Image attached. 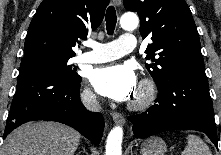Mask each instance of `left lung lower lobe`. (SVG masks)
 Masks as SVG:
<instances>
[{
    "mask_svg": "<svg viewBox=\"0 0 221 155\" xmlns=\"http://www.w3.org/2000/svg\"><path fill=\"white\" fill-rule=\"evenodd\" d=\"M158 91L153 106L128 117L133 123L134 138L169 130H197L204 132L217 147L213 104L205 71L178 73Z\"/></svg>",
    "mask_w": 221,
    "mask_h": 155,
    "instance_id": "0a47b994",
    "label": "left lung lower lobe"
}]
</instances>
